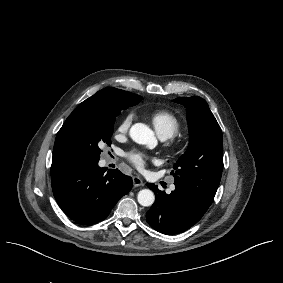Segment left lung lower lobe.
<instances>
[{
  "instance_id": "1",
  "label": "left lung lower lobe",
  "mask_w": 283,
  "mask_h": 283,
  "mask_svg": "<svg viewBox=\"0 0 283 283\" xmlns=\"http://www.w3.org/2000/svg\"><path fill=\"white\" fill-rule=\"evenodd\" d=\"M147 186L155 191L156 200L146 213V221L163 234L172 235L189 229L202 218L211 205L179 186H175V190L169 195L154 184L148 183Z\"/></svg>"
}]
</instances>
